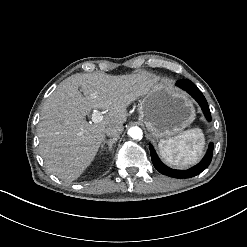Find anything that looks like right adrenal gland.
I'll return each mask as SVG.
<instances>
[{"label": "right adrenal gland", "mask_w": 247, "mask_h": 247, "mask_svg": "<svg viewBox=\"0 0 247 247\" xmlns=\"http://www.w3.org/2000/svg\"><path fill=\"white\" fill-rule=\"evenodd\" d=\"M115 142H116V140H114V139L104 140V141L101 143V149L103 150L104 145L107 144V145H108V149L111 151V150H112V146H113V144H114Z\"/></svg>", "instance_id": "obj_1"}]
</instances>
